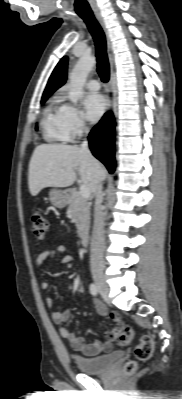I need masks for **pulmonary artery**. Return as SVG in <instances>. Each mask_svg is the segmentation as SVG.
Listing matches in <instances>:
<instances>
[{"instance_id": "pulmonary-artery-1", "label": "pulmonary artery", "mask_w": 182, "mask_h": 399, "mask_svg": "<svg viewBox=\"0 0 182 399\" xmlns=\"http://www.w3.org/2000/svg\"><path fill=\"white\" fill-rule=\"evenodd\" d=\"M87 88L91 91H98L100 89V83L96 79H91L86 84Z\"/></svg>"}]
</instances>
